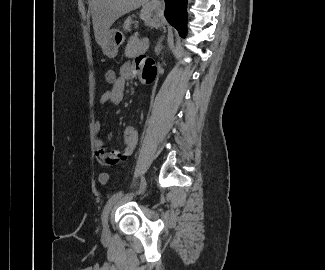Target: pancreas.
I'll list each match as a JSON object with an SVG mask.
<instances>
[{"label": "pancreas", "instance_id": "pancreas-1", "mask_svg": "<svg viewBox=\"0 0 325 270\" xmlns=\"http://www.w3.org/2000/svg\"><path fill=\"white\" fill-rule=\"evenodd\" d=\"M148 49V44L144 40H140L137 35L130 38L125 48V56L134 58L137 55L144 53Z\"/></svg>", "mask_w": 325, "mask_h": 270}]
</instances>
